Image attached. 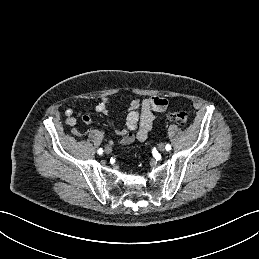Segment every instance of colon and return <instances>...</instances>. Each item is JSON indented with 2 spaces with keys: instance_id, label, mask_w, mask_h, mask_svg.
<instances>
[{
  "instance_id": "obj_1",
  "label": "colon",
  "mask_w": 259,
  "mask_h": 259,
  "mask_svg": "<svg viewBox=\"0 0 259 259\" xmlns=\"http://www.w3.org/2000/svg\"><path fill=\"white\" fill-rule=\"evenodd\" d=\"M167 121L175 122L179 125H185L188 121V114L186 112H171L166 116Z\"/></svg>"
}]
</instances>
